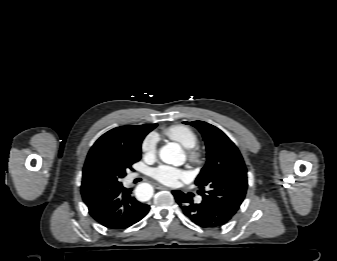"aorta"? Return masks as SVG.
Listing matches in <instances>:
<instances>
[{
	"mask_svg": "<svg viewBox=\"0 0 337 261\" xmlns=\"http://www.w3.org/2000/svg\"><path fill=\"white\" fill-rule=\"evenodd\" d=\"M160 159L174 166H181L185 162V154L178 143H168L159 151ZM136 197L141 201L149 200L153 195V188L148 183H141L135 189Z\"/></svg>",
	"mask_w": 337,
	"mask_h": 261,
	"instance_id": "obj_1",
	"label": "aorta"
}]
</instances>
